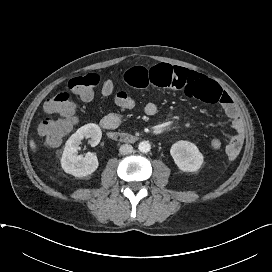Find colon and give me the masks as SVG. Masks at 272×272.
Returning <instances> with one entry per match:
<instances>
[{
    "label": "colon",
    "instance_id": "obj_1",
    "mask_svg": "<svg viewBox=\"0 0 272 272\" xmlns=\"http://www.w3.org/2000/svg\"><path fill=\"white\" fill-rule=\"evenodd\" d=\"M101 79L97 74H86L72 78L66 87L58 89L44 105L48 114L38 127L39 134L48 146H57L76 122L75 106L72 94L79 95L84 100L93 96L94 89L100 84ZM115 91L113 82L107 80L102 85L104 95H112ZM114 102L121 111H130L137 106L136 98L126 91L115 93ZM213 150H220L223 142L213 138L209 143Z\"/></svg>",
    "mask_w": 272,
    "mask_h": 272
}]
</instances>
